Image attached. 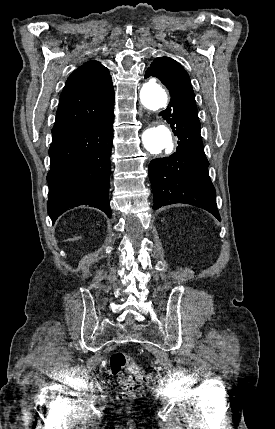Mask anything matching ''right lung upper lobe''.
Instances as JSON below:
<instances>
[{
	"label": "right lung upper lobe",
	"instance_id": "right-lung-upper-lobe-1",
	"mask_svg": "<svg viewBox=\"0 0 275 429\" xmlns=\"http://www.w3.org/2000/svg\"><path fill=\"white\" fill-rule=\"evenodd\" d=\"M113 93L108 69L98 61L84 63L66 81L52 134L111 116Z\"/></svg>",
	"mask_w": 275,
	"mask_h": 429
}]
</instances>
